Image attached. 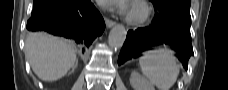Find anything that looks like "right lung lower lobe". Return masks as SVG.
Here are the masks:
<instances>
[{
	"instance_id": "obj_1",
	"label": "right lung lower lobe",
	"mask_w": 228,
	"mask_h": 90,
	"mask_svg": "<svg viewBox=\"0 0 228 90\" xmlns=\"http://www.w3.org/2000/svg\"><path fill=\"white\" fill-rule=\"evenodd\" d=\"M26 28L72 39L84 51L102 34L105 22L90 0H34Z\"/></svg>"
}]
</instances>
